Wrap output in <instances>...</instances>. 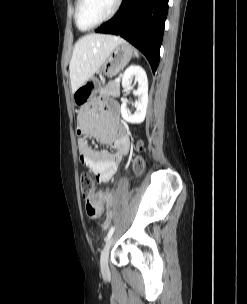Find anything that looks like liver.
Segmentation results:
<instances>
[{
  "label": "liver",
  "instance_id": "liver-1",
  "mask_svg": "<svg viewBox=\"0 0 247 304\" xmlns=\"http://www.w3.org/2000/svg\"><path fill=\"white\" fill-rule=\"evenodd\" d=\"M122 43H125L122 38L105 34H89L79 39L69 65L72 93L87 82Z\"/></svg>",
  "mask_w": 247,
  "mask_h": 304
}]
</instances>
